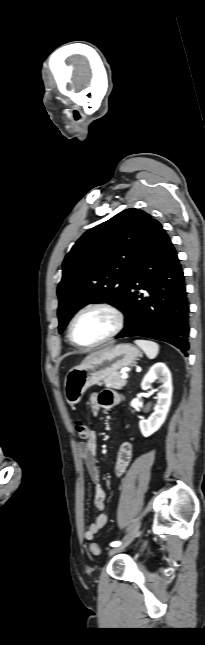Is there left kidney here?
<instances>
[{
	"label": "left kidney",
	"mask_w": 205,
	"mask_h": 645,
	"mask_svg": "<svg viewBox=\"0 0 205 645\" xmlns=\"http://www.w3.org/2000/svg\"><path fill=\"white\" fill-rule=\"evenodd\" d=\"M156 379H159L162 383L161 391L157 394V405L148 419H142L139 422V427L144 437L152 435L162 426L171 405L173 392L172 377L169 369L162 362H158L150 368L142 380L141 388L143 390L150 389L151 384Z\"/></svg>",
	"instance_id": "left-kidney-1"
}]
</instances>
